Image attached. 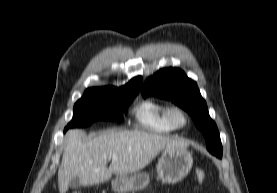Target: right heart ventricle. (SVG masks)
<instances>
[{
    "label": "right heart ventricle",
    "instance_id": "e07e8e85",
    "mask_svg": "<svg viewBox=\"0 0 277 193\" xmlns=\"http://www.w3.org/2000/svg\"><path fill=\"white\" fill-rule=\"evenodd\" d=\"M168 109L167 104L148 99L136 105L133 114L137 126L142 130L156 134H168L176 130L168 121Z\"/></svg>",
    "mask_w": 277,
    "mask_h": 193
}]
</instances>
